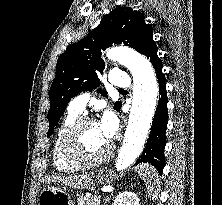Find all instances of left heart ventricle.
<instances>
[{
  "instance_id": "1",
  "label": "left heart ventricle",
  "mask_w": 222,
  "mask_h": 205,
  "mask_svg": "<svg viewBox=\"0 0 222 205\" xmlns=\"http://www.w3.org/2000/svg\"><path fill=\"white\" fill-rule=\"evenodd\" d=\"M108 144L109 140L103 136L97 123L84 125L76 137L77 149L88 158L101 155Z\"/></svg>"
}]
</instances>
